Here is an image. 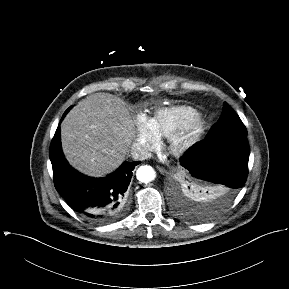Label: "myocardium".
Listing matches in <instances>:
<instances>
[{"label": "myocardium", "mask_w": 289, "mask_h": 289, "mask_svg": "<svg viewBox=\"0 0 289 289\" xmlns=\"http://www.w3.org/2000/svg\"><path fill=\"white\" fill-rule=\"evenodd\" d=\"M203 130L204 125L202 120L200 118L196 119L171 138L170 151L176 156L185 154L198 142Z\"/></svg>", "instance_id": "1"}]
</instances>
